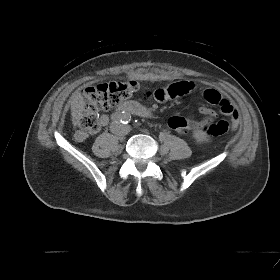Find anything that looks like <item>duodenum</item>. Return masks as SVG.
<instances>
[{
  "instance_id": "obj_1",
  "label": "duodenum",
  "mask_w": 280,
  "mask_h": 280,
  "mask_svg": "<svg viewBox=\"0 0 280 280\" xmlns=\"http://www.w3.org/2000/svg\"><path fill=\"white\" fill-rule=\"evenodd\" d=\"M127 112V113H133L136 114L138 116H142V117H149L151 116V111L147 108H145L144 106L140 105L137 102L134 101H127L124 102L123 104H121L118 107V112Z\"/></svg>"
}]
</instances>
